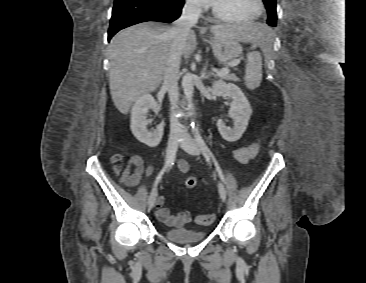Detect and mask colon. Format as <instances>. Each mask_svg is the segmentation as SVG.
I'll list each match as a JSON object with an SVG mask.
<instances>
[{
	"label": "colon",
	"instance_id": "colon-1",
	"mask_svg": "<svg viewBox=\"0 0 366 283\" xmlns=\"http://www.w3.org/2000/svg\"><path fill=\"white\" fill-rule=\"evenodd\" d=\"M197 178L190 176L185 180V186L189 189H193L197 186ZM214 216L212 214L197 215L195 217V222L199 225H209L213 222Z\"/></svg>",
	"mask_w": 366,
	"mask_h": 283
}]
</instances>
